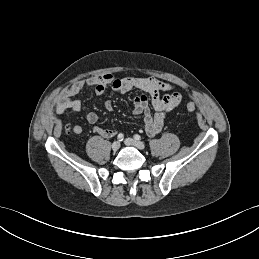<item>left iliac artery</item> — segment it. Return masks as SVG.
Returning a JSON list of instances; mask_svg holds the SVG:
<instances>
[{
	"mask_svg": "<svg viewBox=\"0 0 259 259\" xmlns=\"http://www.w3.org/2000/svg\"><path fill=\"white\" fill-rule=\"evenodd\" d=\"M134 138H135L136 140H140V139H141V136L138 135V134H135V135H134Z\"/></svg>",
	"mask_w": 259,
	"mask_h": 259,
	"instance_id": "1",
	"label": "left iliac artery"
}]
</instances>
